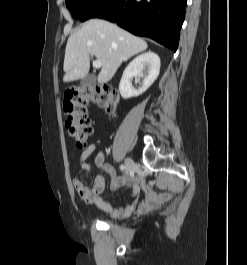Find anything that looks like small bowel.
<instances>
[{"label":"small bowel","mask_w":247,"mask_h":265,"mask_svg":"<svg viewBox=\"0 0 247 265\" xmlns=\"http://www.w3.org/2000/svg\"><path fill=\"white\" fill-rule=\"evenodd\" d=\"M96 149V145L91 144L82 151L80 155L82 169L88 168V159L95 154ZM94 162L99 169L103 170L110 176L112 189H116L117 187L124 184L130 185L133 188L131 202L123 208H117L104 201L102 197L105 188V180L103 176H95L91 188L85 186L84 183L78 178L73 180V186L79 197L85 203L100 208L112 219L126 218L134 213L143 214L156 210L162 203L169 200L172 196V194L169 192L157 194L151 188H145L144 196L141 199V191L138 184L133 180H125L118 177L112 166L105 162L104 154L102 152H98L94 155Z\"/></svg>","instance_id":"obj_1"}]
</instances>
